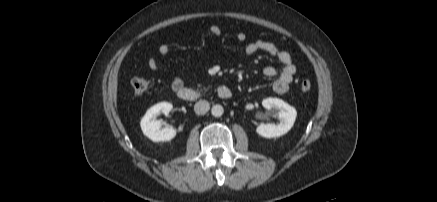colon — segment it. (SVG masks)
<instances>
[{
    "label": "colon",
    "instance_id": "obj_1",
    "mask_svg": "<svg viewBox=\"0 0 437 202\" xmlns=\"http://www.w3.org/2000/svg\"><path fill=\"white\" fill-rule=\"evenodd\" d=\"M152 82L150 79L145 77H134L131 80V86L135 94L142 95L146 93L151 88ZM312 83L309 79H303L300 82V89L303 92H308L311 90Z\"/></svg>",
    "mask_w": 437,
    "mask_h": 202
}]
</instances>
